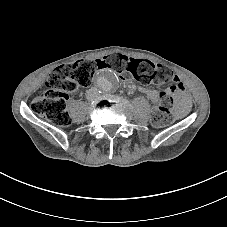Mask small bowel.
Segmentation results:
<instances>
[{
  "label": "small bowel",
  "mask_w": 227,
  "mask_h": 227,
  "mask_svg": "<svg viewBox=\"0 0 227 227\" xmlns=\"http://www.w3.org/2000/svg\"><path fill=\"white\" fill-rule=\"evenodd\" d=\"M141 91L146 94L153 102L157 103L160 101L159 93L156 90L150 88H141ZM189 103L186 96L181 95L179 98V113H185L188 111Z\"/></svg>",
  "instance_id": "c3829d8e"
}]
</instances>
